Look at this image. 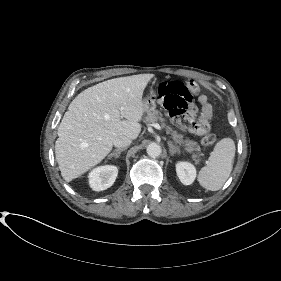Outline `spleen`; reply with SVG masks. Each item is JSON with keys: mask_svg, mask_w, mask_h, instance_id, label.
<instances>
[{"mask_svg": "<svg viewBox=\"0 0 281 281\" xmlns=\"http://www.w3.org/2000/svg\"><path fill=\"white\" fill-rule=\"evenodd\" d=\"M235 156V143L231 138L221 139L198 174L200 185L210 191L222 188L229 178Z\"/></svg>", "mask_w": 281, "mask_h": 281, "instance_id": "1", "label": "spleen"}]
</instances>
